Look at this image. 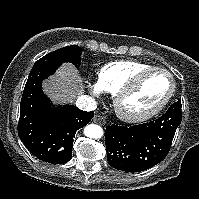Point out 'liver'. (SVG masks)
<instances>
[{
    "mask_svg": "<svg viewBox=\"0 0 199 199\" xmlns=\"http://www.w3.org/2000/svg\"><path fill=\"white\" fill-rule=\"evenodd\" d=\"M43 88L56 102H72L83 92L82 79L72 64H63L55 76L44 82Z\"/></svg>",
    "mask_w": 199,
    "mask_h": 199,
    "instance_id": "1",
    "label": "liver"
}]
</instances>
